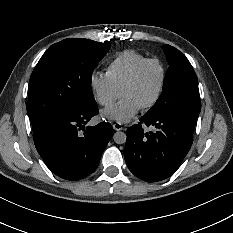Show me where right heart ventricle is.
Instances as JSON below:
<instances>
[{"label": "right heart ventricle", "mask_w": 233, "mask_h": 233, "mask_svg": "<svg viewBox=\"0 0 233 233\" xmlns=\"http://www.w3.org/2000/svg\"><path fill=\"white\" fill-rule=\"evenodd\" d=\"M147 57L134 50H124L115 55L106 65L105 75L116 89L122 84L134 69Z\"/></svg>", "instance_id": "right-heart-ventricle-1"}]
</instances>
